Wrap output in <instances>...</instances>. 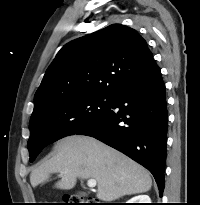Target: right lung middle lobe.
Instances as JSON below:
<instances>
[{"instance_id": "obj_1", "label": "right lung middle lobe", "mask_w": 200, "mask_h": 205, "mask_svg": "<svg viewBox=\"0 0 200 205\" xmlns=\"http://www.w3.org/2000/svg\"><path fill=\"white\" fill-rule=\"evenodd\" d=\"M111 101V96H79L52 104L31 117L28 141L30 161L45 146L65 136L77 134L97 122L108 112Z\"/></svg>"}]
</instances>
